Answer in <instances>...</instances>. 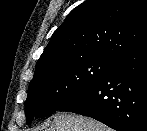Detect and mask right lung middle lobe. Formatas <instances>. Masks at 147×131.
<instances>
[{
	"mask_svg": "<svg viewBox=\"0 0 147 131\" xmlns=\"http://www.w3.org/2000/svg\"><path fill=\"white\" fill-rule=\"evenodd\" d=\"M115 62L116 60L92 57L34 75L25 102L27 123L34 116L58 111L82 96L108 73Z\"/></svg>",
	"mask_w": 147,
	"mask_h": 131,
	"instance_id": "right-lung-middle-lobe-1",
	"label": "right lung middle lobe"
}]
</instances>
